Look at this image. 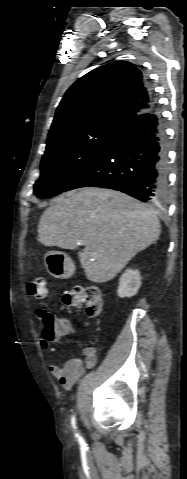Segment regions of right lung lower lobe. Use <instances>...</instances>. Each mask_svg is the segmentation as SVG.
Segmentation results:
<instances>
[{
  "label": "right lung lower lobe",
  "instance_id": "right-lung-lower-lobe-1",
  "mask_svg": "<svg viewBox=\"0 0 187 479\" xmlns=\"http://www.w3.org/2000/svg\"><path fill=\"white\" fill-rule=\"evenodd\" d=\"M150 90V89H149ZM151 94L152 90H150ZM164 122L157 104L129 121L105 151L64 191L104 187L143 202L163 200L168 189Z\"/></svg>",
  "mask_w": 187,
  "mask_h": 479
}]
</instances>
